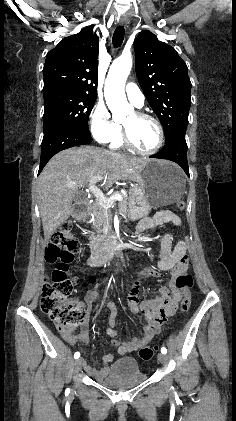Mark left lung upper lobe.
Masks as SVG:
<instances>
[{
	"instance_id": "left-lung-upper-lobe-1",
	"label": "left lung upper lobe",
	"mask_w": 236,
	"mask_h": 421,
	"mask_svg": "<svg viewBox=\"0 0 236 421\" xmlns=\"http://www.w3.org/2000/svg\"><path fill=\"white\" fill-rule=\"evenodd\" d=\"M134 49L139 84L164 127L165 138L175 131H186L191 105L186 63L150 31L139 33Z\"/></svg>"
}]
</instances>
